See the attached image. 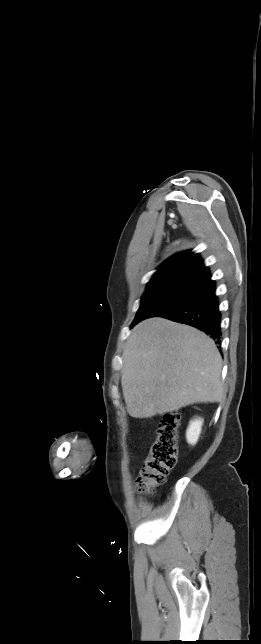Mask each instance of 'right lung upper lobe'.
Segmentation results:
<instances>
[{
	"label": "right lung upper lobe",
	"mask_w": 261,
	"mask_h": 644,
	"mask_svg": "<svg viewBox=\"0 0 261 644\" xmlns=\"http://www.w3.org/2000/svg\"><path fill=\"white\" fill-rule=\"evenodd\" d=\"M210 278L211 274L198 254L184 251L167 259L149 283L176 279L203 284Z\"/></svg>",
	"instance_id": "obj_1"
}]
</instances>
